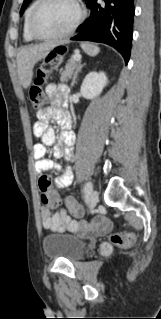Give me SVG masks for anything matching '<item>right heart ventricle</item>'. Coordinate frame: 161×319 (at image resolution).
<instances>
[{
    "label": "right heart ventricle",
    "instance_id": "right-heart-ventricle-1",
    "mask_svg": "<svg viewBox=\"0 0 161 319\" xmlns=\"http://www.w3.org/2000/svg\"><path fill=\"white\" fill-rule=\"evenodd\" d=\"M38 2L39 0H34L25 12L24 24H23V38L25 41H28V42L34 40V38L31 36L29 31V21H30L31 14Z\"/></svg>",
    "mask_w": 161,
    "mask_h": 319
}]
</instances>
